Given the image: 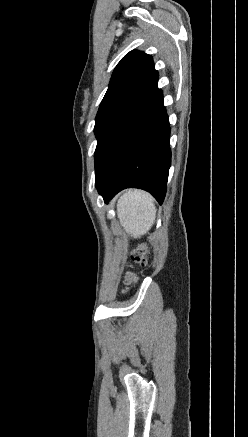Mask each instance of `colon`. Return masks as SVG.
Segmentation results:
<instances>
[{
	"mask_svg": "<svg viewBox=\"0 0 248 437\" xmlns=\"http://www.w3.org/2000/svg\"><path fill=\"white\" fill-rule=\"evenodd\" d=\"M147 248L145 246H141L136 250V254L133 256V259L137 262L144 263L146 260ZM137 281V276L132 271L126 273L125 276V290L128 291L129 287L133 285Z\"/></svg>",
	"mask_w": 248,
	"mask_h": 437,
	"instance_id": "1",
	"label": "colon"
}]
</instances>
